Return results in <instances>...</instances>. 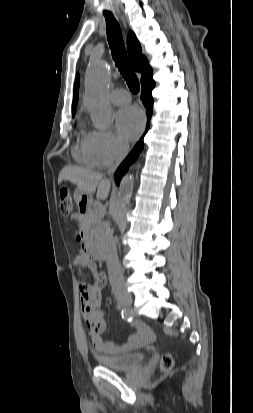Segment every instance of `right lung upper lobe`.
Segmentation results:
<instances>
[{"label":"right lung upper lobe","instance_id":"1","mask_svg":"<svg viewBox=\"0 0 253 413\" xmlns=\"http://www.w3.org/2000/svg\"><path fill=\"white\" fill-rule=\"evenodd\" d=\"M127 49L130 62L133 68L141 72L142 78L147 75L152 74L151 67L149 66L146 58L142 55V50L139 41L137 40L135 34L130 32L127 36ZM78 91H79V75H77L75 86H74V97H73V115L76 111V105L78 102Z\"/></svg>","mask_w":253,"mask_h":413}]
</instances>
